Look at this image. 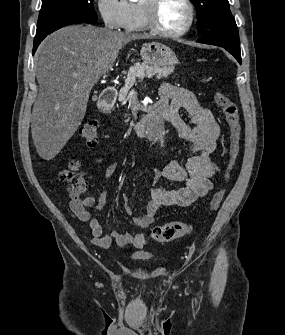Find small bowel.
<instances>
[{
  "label": "small bowel",
  "instance_id": "c3829d8e",
  "mask_svg": "<svg viewBox=\"0 0 285 335\" xmlns=\"http://www.w3.org/2000/svg\"><path fill=\"white\" fill-rule=\"evenodd\" d=\"M159 94L161 101L167 102L174 110L175 115L171 123L177 135L188 144L190 155L184 164L172 161L163 168L152 171L153 185L145 214H135L128 204L127 197L123 195L125 212L132 217L135 225L142 229L153 224L160 208L187 207L206 195L213 188V178L218 171L213 154L218 148L221 130L213 113L202 107L188 89L166 83L160 87ZM181 111L186 112L189 121L181 116ZM95 165L105 169L107 179L111 178L117 169L115 162L105 159L96 161ZM161 177L178 182L180 186L175 189L159 187L157 182ZM81 183L82 185L70 194V209L80 221L89 225V239L92 244L108 247L115 240L119 244L130 243L138 249L146 246L148 240L144 233L132 235L115 230L106 234L87 208L104 207L108 201L107 190H103L98 197L82 198L81 195L87 187V178H81Z\"/></svg>",
  "mask_w": 285,
  "mask_h": 335
}]
</instances>
